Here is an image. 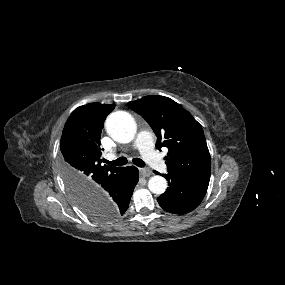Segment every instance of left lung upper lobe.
<instances>
[{
	"label": "left lung upper lobe",
	"mask_w": 285,
	"mask_h": 285,
	"mask_svg": "<svg viewBox=\"0 0 285 285\" xmlns=\"http://www.w3.org/2000/svg\"><path fill=\"white\" fill-rule=\"evenodd\" d=\"M157 136L156 147L168 148V172L193 182L209 184L211 159L201 125L179 104L149 95L129 102Z\"/></svg>",
	"instance_id": "obj_1"
}]
</instances>
